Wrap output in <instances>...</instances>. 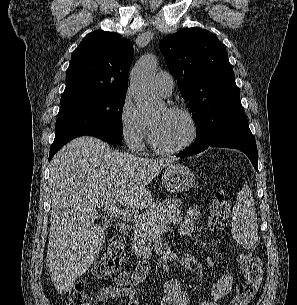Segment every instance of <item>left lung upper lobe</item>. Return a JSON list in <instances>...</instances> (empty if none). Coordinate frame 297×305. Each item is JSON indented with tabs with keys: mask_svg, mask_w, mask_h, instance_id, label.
Instances as JSON below:
<instances>
[{
	"mask_svg": "<svg viewBox=\"0 0 297 305\" xmlns=\"http://www.w3.org/2000/svg\"><path fill=\"white\" fill-rule=\"evenodd\" d=\"M159 48L197 126L198 143L245 116L227 52L212 33L186 28L160 41Z\"/></svg>",
	"mask_w": 297,
	"mask_h": 305,
	"instance_id": "1",
	"label": "left lung upper lobe"
}]
</instances>
